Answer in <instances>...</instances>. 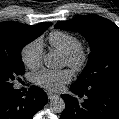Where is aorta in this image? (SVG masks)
<instances>
[{
  "mask_svg": "<svg viewBox=\"0 0 119 119\" xmlns=\"http://www.w3.org/2000/svg\"><path fill=\"white\" fill-rule=\"evenodd\" d=\"M43 62L47 68L51 69L58 68L60 66V60L53 52L47 53L43 58ZM50 109L54 113H62L65 110L64 100L59 96L53 97L50 100Z\"/></svg>",
  "mask_w": 119,
  "mask_h": 119,
  "instance_id": "1",
  "label": "aorta"
}]
</instances>
